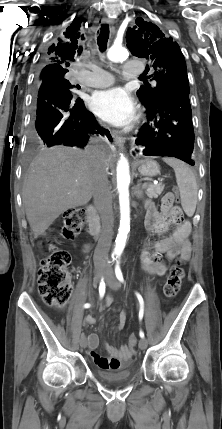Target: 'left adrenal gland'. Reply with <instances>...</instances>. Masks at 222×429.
Here are the masks:
<instances>
[{"label":"left adrenal gland","instance_id":"obj_1","mask_svg":"<svg viewBox=\"0 0 222 429\" xmlns=\"http://www.w3.org/2000/svg\"><path fill=\"white\" fill-rule=\"evenodd\" d=\"M134 194L138 199L143 198V190L141 189V183L138 182L137 186L135 187Z\"/></svg>","mask_w":222,"mask_h":429}]
</instances>
